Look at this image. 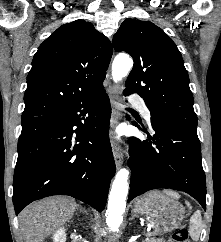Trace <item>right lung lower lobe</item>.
Listing matches in <instances>:
<instances>
[{
    "instance_id": "98d812e1",
    "label": "right lung lower lobe",
    "mask_w": 221,
    "mask_h": 242,
    "mask_svg": "<svg viewBox=\"0 0 221 242\" xmlns=\"http://www.w3.org/2000/svg\"><path fill=\"white\" fill-rule=\"evenodd\" d=\"M110 116L102 87L64 110L22 121L13 179L16 214L52 195H69L99 212L104 209L116 170Z\"/></svg>"
}]
</instances>
